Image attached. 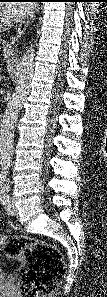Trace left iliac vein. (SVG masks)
Here are the masks:
<instances>
[{
	"mask_svg": "<svg viewBox=\"0 0 107 297\" xmlns=\"http://www.w3.org/2000/svg\"><path fill=\"white\" fill-rule=\"evenodd\" d=\"M6 210H7L8 214H10V215H16L17 214V209L15 207V204H14L13 200H9L7 202Z\"/></svg>",
	"mask_w": 107,
	"mask_h": 297,
	"instance_id": "left-iliac-vein-1",
	"label": "left iliac vein"
}]
</instances>
